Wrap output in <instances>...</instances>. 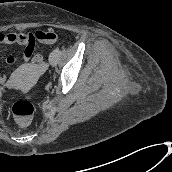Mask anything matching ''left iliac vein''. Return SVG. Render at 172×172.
Returning <instances> with one entry per match:
<instances>
[{
	"label": "left iliac vein",
	"mask_w": 172,
	"mask_h": 172,
	"mask_svg": "<svg viewBox=\"0 0 172 172\" xmlns=\"http://www.w3.org/2000/svg\"><path fill=\"white\" fill-rule=\"evenodd\" d=\"M57 59H58V54L55 51L51 52L49 55V63L52 66H54L57 63Z\"/></svg>",
	"instance_id": "left-iliac-vein-1"
}]
</instances>
